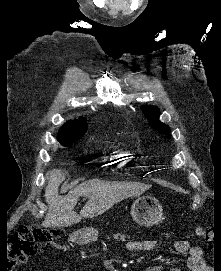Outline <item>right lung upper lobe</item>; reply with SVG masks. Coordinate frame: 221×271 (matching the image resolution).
<instances>
[{"mask_svg": "<svg viewBox=\"0 0 221 271\" xmlns=\"http://www.w3.org/2000/svg\"><path fill=\"white\" fill-rule=\"evenodd\" d=\"M86 130L87 123L83 117L80 120H70L60 129L58 140H78L85 134Z\"/></svg>", "mask_w": 221, "mask_h": 271, "instance_id": "right-lung-upper-lobe-1", "label": "right lung upper lobe"}]
</instances>
